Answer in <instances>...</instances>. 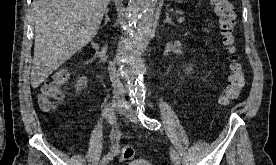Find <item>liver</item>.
<instances>
[{
  "label": "liver",
  "mask_w": 276,
  "mask_h": 165,
  "mask_svg": "<svg viewBox=\"0 0 276 165\" xmlns=\"http://www.w3.org/2000/svg\"><path fill=\"white\" fill-rule=\"evenodd\" d=\"M110 0H34L31 85L44 80L97 34Z\"/></svg>",
  "instance_id": "6515ba94"
}]
</instances>
